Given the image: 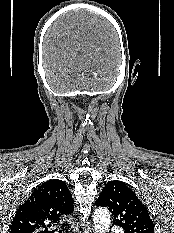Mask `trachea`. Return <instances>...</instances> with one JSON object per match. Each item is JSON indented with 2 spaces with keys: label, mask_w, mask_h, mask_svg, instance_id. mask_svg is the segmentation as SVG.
<instances>
[{
  "label": "trachea",
  "mask_w": 174,
  "mask_h": 233,
  "mask_svg": "<svg viewBox=\"0 0 174 233\" xmlns=\"http://www.w3.org/2000/svg\"><path fill=\"white\" fill-rule=\"evenodd\" d=\"M61 231H62V230H60L59 233H62ZM66 233H68V232H66Z\"/></svg>",
  "instance_id": "obj_1"
}]
</instances>
